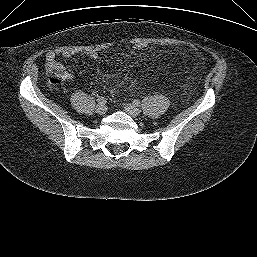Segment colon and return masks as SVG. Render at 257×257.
Here are the masks:
<instances>
[{
	"label": "colon",
	"mask_w": 257,
	"mask_h": 257,
	"mask_svg": "<svg viewBox=\"0 0 257 257\" xmlns=\"http://www.w3.org/2000/svg\"><path fill=\"white\" fill-rule=\"evenodd\" d=\"M132 48L137 52H142L148 48V45L144 42H138L134 43ZM47 74L50 82L53 84H61L67 77L64 67L56 61L47 64Z\"/></svg>",
	"instance_id": "5ec220e1"
}]
</instances>
